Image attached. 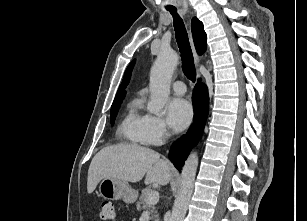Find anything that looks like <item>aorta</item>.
I'll use <instances>...</instances> for the list:
<instances>
[{"mask_svg": "<svg viewBox=\"0 0 307 221\" xmlns=\"http://www.w3.org/2000/svg\"><path fill=\"white\" fill-rule=\"evenodd\" d=\"M178 64V55L173 50H162L157 56L150 71L151 100L147 110L162 115L163 108L170 93L172 75ZM198 166L197 153H191L181 172V185L175 199L169 221H183L193 193L195 176Z\"/></svg>", "mask_w": 307, "mask_h": 221, "instance_id": "1", "label": "aorta"}]
</instances>
